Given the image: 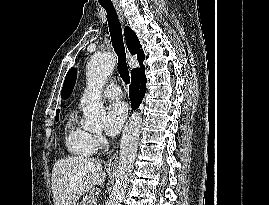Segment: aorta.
<instances>
[{"label": "aorta", "instance_id": "762f6f07", "mask_svg": "<svg viewBox=\"0 0 269 205\" xmlns=\"http://www.w3.org/2000/svg\"><path fill=\"white\" fill-rule=\"evenodd\" d=\"M115 62V56L112 53H103L93 55L87 64L86 81L88 90L81 99V107L85 127L88 129L101 126L106 118L100 93L115 67ZM141 122V115L134 113L124 128L116 180L110 192L108 205L122 204L138 150Z\"/></svg>", "mask_w": 269, "mask_h": 205}]
</instances>
